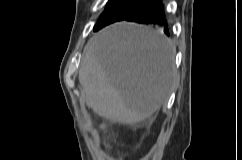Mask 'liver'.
Here are the masks:
<instances>
[{"mask_svg": "<svg viewBox=\"0 0 242 160\" xmlns=\"http://www.w3.org/2000/svg\"><path fill=\"white\" fill-rule=\"evenodd\" d=\"M175 53L171 40L141 25L102 29L88 41L79 70L87 105L122 124L147 119L173 90Z\"/></svg>", "mask_w": 242, "mask_h": 160, "instance_id": "liver-1", "label": "liver"}]
</instances>
